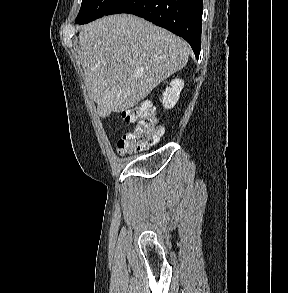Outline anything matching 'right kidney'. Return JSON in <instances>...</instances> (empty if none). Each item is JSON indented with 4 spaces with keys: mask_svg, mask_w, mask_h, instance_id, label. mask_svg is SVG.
<instances>
[{
    "mask_svg": "<svg viewBox=\"0 0 288 293\" xmlns=\"http://www.w3.org/2000/svg\"><path fill=\"white\" fill-rule=\"evenodd\" d=\"M183 87L184 81L182 79H174L171 81L170 87H167L163 92L162 103L165 109H171L175 106Z\"/></svg>",
    "mask_w": 288,
    "mask_h": 293,
    "instance_id": "ca27d5eb",
    "label": "right kidney"
}]
</instances>
